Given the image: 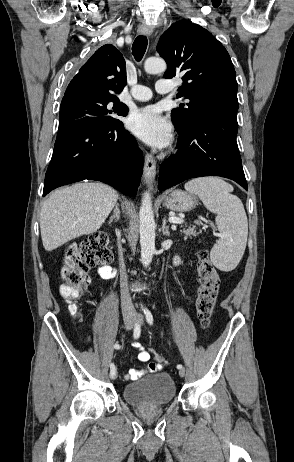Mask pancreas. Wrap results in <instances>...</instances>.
<instances>
[{"instance_id": "obj_1", "label": "pancreas", "mask_w": 294, "mask_h": 462, "mask_svg": "<svg viewBox=\"0 0 294 462\" xmlns=\"http://www.w3.org/2000/svg\"><path fill=\"white\" fill-rule=\"evenodd\" d=\"M181 232L184 233L185 238H188V237H191V236H196V234H197L195 226H189L187 229H184Z\"/></svg>"}]
</instances>
